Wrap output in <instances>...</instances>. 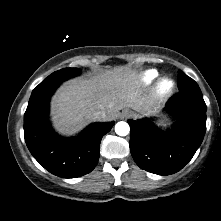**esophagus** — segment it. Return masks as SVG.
<instances>
[{"mask_svg":"<svg viewBox=\"0 0 221 221\" xmlns=\"http://www.w3.org/2000/svg\"><path fill=\"white\" fill-rule=\"evenodd\" d=\"M120 119H127L131 117V112L128 110H124L119 114Z\"/></svg>","mask_w":221,"mask_h":221,"instance_id":"esophagus-1","label":"esophagus"}]
</instances>
